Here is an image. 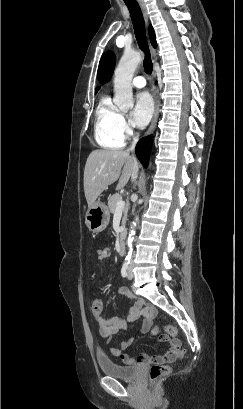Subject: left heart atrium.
Segmentation results:
<instances>
[{
	"instance_id": "1",
	"label": "left heart atrium",
	"mask_w": 243,
	"mask_h": 409,
	"mask_svg": "<svg viewBox=\"0 0 243 409\" xmlns=\"http://www.w3.org/2000/svg\"><path fill=\"white\" fill-rule=\"evenodd\" d=\"M154 111L152 98L148 92H140L135 98V105L130 113L134 126L144 127L150 121Z\"/></svg>"
}]
</instances>
